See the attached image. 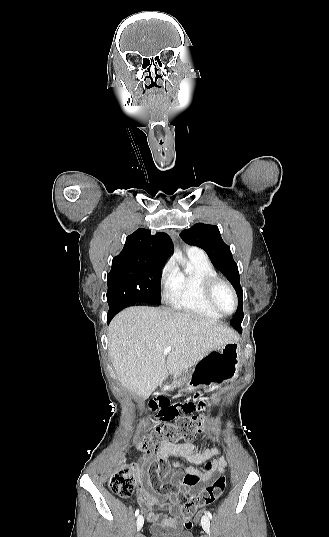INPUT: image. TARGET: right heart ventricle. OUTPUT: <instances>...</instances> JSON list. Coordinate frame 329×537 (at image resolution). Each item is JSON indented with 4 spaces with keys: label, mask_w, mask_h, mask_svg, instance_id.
Wrapping results in <instances>:
<instances>
[{
    "label": "right heart ventricle",
    "mask_w": 329,
    "mask_h": 537,
    "mask_svg": "<svg viewBox=\"0 0 329 537\" xmlns=\"http://www.w3.org/2000/svg\"><path fill=\"white\" fill-rule=\"evenodd\" d=\"M176 282L167 299L177 311L211 318L222 317L207 302L204 282L207 278L217 277V273L206 256L188 254L184 269H176Z\"/></svg>",
    "instance_id": "right-heart-ventricle-1"
}]
</instances>
